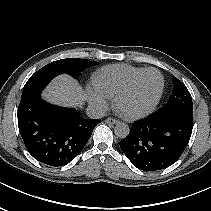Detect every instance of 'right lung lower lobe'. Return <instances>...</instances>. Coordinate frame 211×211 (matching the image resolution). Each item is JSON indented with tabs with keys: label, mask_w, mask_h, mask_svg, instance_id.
I'll return each mask as SVG.
<instances>
[{
	"label": "right lung lower lobe",
	"mask_w": 211,
	"mask_h": 211,
	"mask_svg": "<svg viewBox=\"0 0 211 211\" xmlns=\"http://www.w3.org/2000/svg\"><path fill=\"white\" fill-rule=\"evenodd\" d=\"M18 127L28 152L49 166L71 162L88 142L98 119H84L71 108L50 105L40 93L20 101Z\"/></svg>",
	"instance_id": "98d812e1"
}]
</instances>
